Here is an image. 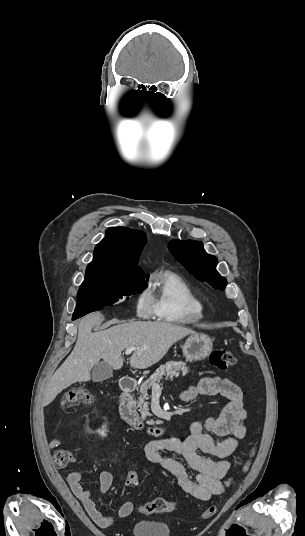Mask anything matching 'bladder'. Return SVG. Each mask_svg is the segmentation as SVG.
<instances>
[{"label":"bladder","mask_w":305,"mask_h":536,"mask_svg":"<svg viewBox=\"0 0 305 536\" xmlns=\"http://www.w3.org/2000/svg\"><path fill=\"white\" fill-rule=\"evenodd\" d=\"M173 529L170 523L159 522L153 519H139L132 524V536H172Z\"/></svg>","instance_id":"obj_1"}]
</instances>
